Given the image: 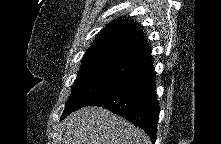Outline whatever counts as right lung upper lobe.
Here are the masks:
<instances>
[{
  "instance_id": "cb5924a9",
  "label": "right lung upper lobe",
  "mask_w": 221,
  "mask_h": 144,
  "mask_svg": "<svg viewBox=\"0 0 221 144\" xmlns=\"http://www.w3.org/2000/svg\"><path fill=\"white\" fill-rule=\"evenodd\" d=\"M105 52H124L146 57L150 55L151 49L135 22L118 19L100 32L83 58Z\"/></svg>"
}]
</instances>
